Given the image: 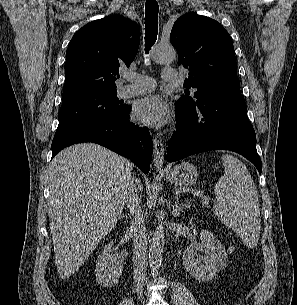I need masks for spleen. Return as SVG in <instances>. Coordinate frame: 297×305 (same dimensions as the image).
<instances>
[{"label":"spleen","mask_w":297,"mask_h":305,"mask_svg":"<svg viewBox=\"0 0 297 305\" xmlns=\"http://www.w3.org/2000/svg\"><path fill=\"white\" fill-rule=\"evenodd\" d=\"M225 173L216 183L213 210L218 219L236 232L246 246H257L260 208L256 187L246 166L232 155L221 157Z\"/></svg>","instance_id":"1"}]
</instances>
